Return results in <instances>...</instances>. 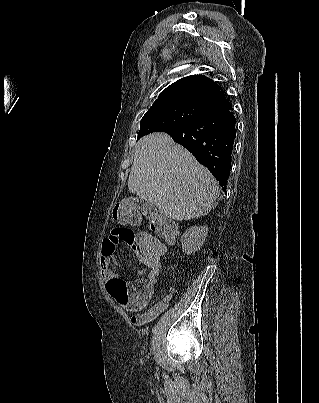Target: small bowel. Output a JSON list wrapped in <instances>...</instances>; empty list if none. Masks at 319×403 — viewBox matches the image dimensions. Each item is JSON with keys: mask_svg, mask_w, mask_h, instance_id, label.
<instances>
[{"mask_svg": "<svg viewBox=\"0 0 319 403\" xmlns=\"http://www.w3.org/2000/svg\"><path fill=\"white\" fill-rule=\"evenodd\" d=\"M134 237L135 230L131 229L130 224H113L111 229H106L105 236L99 239V268L101 277L108 282V295L112 296L113 304L123 309L124 315H133V324H144L160 314L168 303L162 300L147 309L149 300H152V285L162 270L160 258H142V267L136 275L142 276L148 270V279L123 278L111 269L117 249L137 248ZM140 309L147 310L139 315Z\"/></svg>", "mask_w": 319, "mask_h": 403, "instance_id": "small-bowel-1", "label": "small bowel"}]
</instances>
